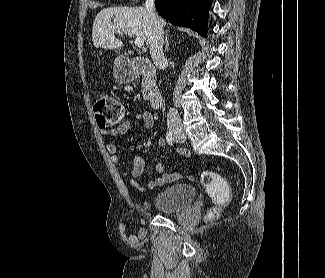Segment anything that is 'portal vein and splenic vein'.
I'll return each instance as SVG.
<instances>
[{
  "instance_id": "1",
  "label": "portal vein and splenic vein",
  "mask_w": 325,
  "mask_h": 278,
  "mask_svg": "<svg viewBox=\"0 0 325 278\" xmlns=\"http://www.w3.org/2000/svg\"><path fill=\"white\" fill-rule=\"evenodd\" d=\"M117 32L118 33H124V34H128L130 37H132L133 35L132 34H130V33H127L126 31H121V30H117ZM134 44H135V46H137V47H143L144 46V40L142 39V38H140V37H136L135 39H134Z\"/></svg>"
}]
</instances>
